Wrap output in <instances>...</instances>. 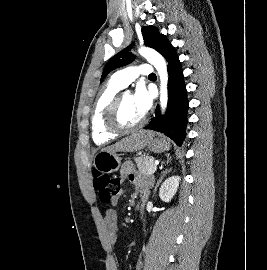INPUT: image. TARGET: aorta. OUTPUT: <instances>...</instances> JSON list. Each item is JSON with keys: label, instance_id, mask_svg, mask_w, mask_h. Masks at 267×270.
<instances>
[{"label": "aorta", "instance_id": "obj_1", "mask_svg": "<svg viewBox=\"0 0 267 270\" xmlns=\"http://www.w3.org/2000/svg\"><path fill=\"white\" fill-rule=\"evenodd\" d=\"M138 52L141 56L146 58L147 61L152 64L158 72L160 78V106L164 112L168 102V72L166 61L162 55L149 47L142 46L139 48Z\"/></svg>", "mask_w": 267, "mask_h": 270}]
</instances>
